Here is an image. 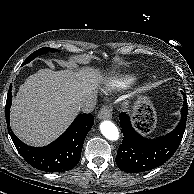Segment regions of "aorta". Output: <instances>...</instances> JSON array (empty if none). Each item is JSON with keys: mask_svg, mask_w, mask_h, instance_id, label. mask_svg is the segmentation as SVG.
<instances>
[{"mask_svg": "<svg viewBox=\"0 0 194 194\" xmlns=\"http://www.w3.org/2000/svg\"><path fill=\"white\" fill-rule=\"evenodd\" d=\"M100 130L103 136L108 140L116 141L119 139V130L117 126L109 120L101 122Z\"/></svg>", "mask_w": 194, "mask_h": 194, "instance_id": "762f6f07", "label": "aorta"}]
</instances>
